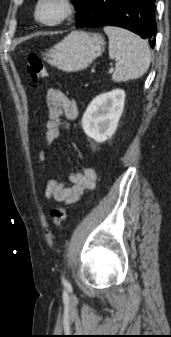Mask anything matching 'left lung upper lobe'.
I'll return each mask as SVG.
<instances>
[{"mask_svg":"<svg viewBox=\"0 0 171 337\" xmlns=\"http://www.w3.org/2000/svg\"><path fill=\"white\" fill-rule=\"evenodd\" d=\"M77 9L76 20L81 16L88 0H71Z\"/></svg>","mask_w":171,"mask_h":337,"instance_id":"5c2ea615","label":"left lung upper lobe"}]
</instances>
